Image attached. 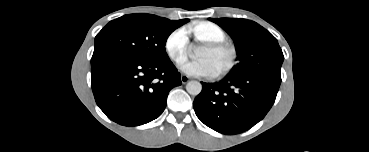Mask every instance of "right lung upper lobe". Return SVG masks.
Instances as JSON below:
<instances>
[{"mask_svg":"<svg viewBox=\"0 0 369 152\" xmlns=\"http://www.w3.org/2000/svg\"><path fill=\"white\" fill-rule=\"evenodd\" d=\"M160 18H162V17H160ZM163 19L167 20L168 22H170L171 24H173L177 28L189 21V19H183V20H178V21H171V20H168L166 18H163Z\"/></svg>","mask_w":369,"mask_h":152,"instance_id":"right-lung-upper-lobe-1","label":"right lung upper lobe"}]
</instances>
